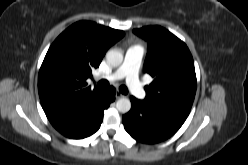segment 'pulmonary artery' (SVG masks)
Wrapping results in <instances>:
<instances>
[{
    "mask_svg": "<svg viewBox=\"0 0 248 165\" xmlns=\"http://www.w3.org/2000/svg\"><path fill=\"white\" fill-rule=\"evenodd\" d=\"M144 54V48L140 45H132L125 54L122 65L114 72L102 76L109 81L126 80V84L130 91L138 99H144L146 92L139 80V68Z\"/></svg>",
    "mask_w": 248,
    "mask_h": 165,
    "instance_id": "pulmonary-artery-1",
    "label": "pulmonary artery"
}]
</instances>
